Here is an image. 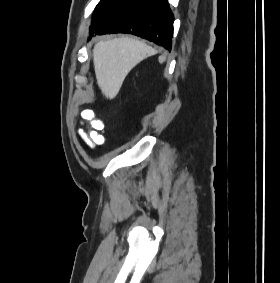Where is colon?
Returning a JSON list of instances; mask_svg holds the SVG:
<instances>
[{
  "label": "colon",
  "mask_w": 280,
  "mask_h": 283,
  "mask_svg": "<svg viewBox=\"0 0 280 283\" xmlns=\"http://www.w3.org/2000/svg\"><path fill=\"white\" fill-rule=\"evenodd\" d=\"M83 117L86 119L90 130L84 133L85 138L94 145H99L103 143L104 137L102 134L104 124L98 119V114H93L90 111H84L82 113Z\"/></svg>",
  "instance_id": "1"
}]
</instances>
